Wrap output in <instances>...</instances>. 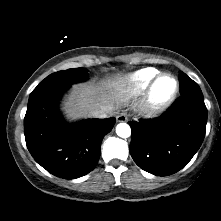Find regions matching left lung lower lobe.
Here are the masks:
<instances>
[{"label": "left lung lower lobe", "instance_id": "left-lung-lower-lobe-1", "mask_svg": "<svg viewBox=\"0 0 221 221\" xmlns=\"http://www.w3.org/2000/svg\"><path fill=\"white\" fill-rule=\"evenodd\" d=\"M203 94L181 95L161 116L130 122V153L135 163L156 176L185 167L200 148L206 131Z\"/></svg>", "mask_w": 221, "mask_h": 221}]
</instances>
